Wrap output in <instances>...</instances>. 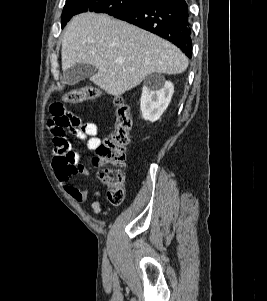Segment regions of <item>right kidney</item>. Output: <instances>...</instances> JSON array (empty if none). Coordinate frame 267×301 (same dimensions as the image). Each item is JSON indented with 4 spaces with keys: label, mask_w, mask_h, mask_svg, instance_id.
I'll list each match as a JSON object with an SVG mask.
<instances>
[{
    "label": "right kidney",
    "mask_w": 267,
    "mask_h": 301,
    "mask_svg": "<svg viewBox=\"0 0 267 301\" xmlns=\"http://www.w3.org/2000/svg\"><path fill=\"white\" fill-rule=\"evenodd\" d=\"M174 85L166 81L160 85H149L143 88L140 100V109L144 120L155 122L167 109L172 95Z\"/></svg>",
    "instance_id": "right-kidney-1"
}]
</instances>
